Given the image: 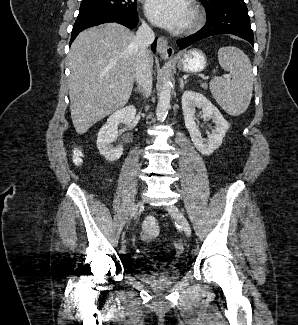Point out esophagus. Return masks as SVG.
Instances as JSON below:
<instances>
[{"instance_id": "obj_1", "label": "esophagus", "mask_w": 298, "mask_h": 325, "mask_svg": "<svg viewBox=\"0 0 298 325\" xmlns=\"http://www.w3.org/2000/svg\"><path fill=\"white\" fill-rule=\"evenodd\" d=\"M157 51L163 58H171L174 55V49L168 44L164 37H159L157 41Z\"/></svg>"}]
</instances>
